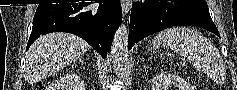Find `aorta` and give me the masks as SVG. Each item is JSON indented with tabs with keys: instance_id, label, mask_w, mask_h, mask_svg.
Segmentation results:
<instances>
[{
	"instance_id": "1",
	"label": "aorta",
	"mask_w": 237,
	"mask_h": 90,
	"mask_svg": "<svg viewBox=\"0 0 237 90\" xmlns=\"http://www.w3.org/2000/svg\"><path fill=\"white\" fill-rule=\"evenodd\" d=\"M128 24H121L116 30L111 46L112 68L117 78H123L128 62Z\"/></svg>"
}]
</instances>
